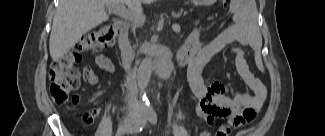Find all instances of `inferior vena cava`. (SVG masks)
I'll return each instance as SVG.
<instances>
[{"instance_id": "1", "label": "inferior vena cava", "mask_w": 325, "mask_h": 136, "mask_svg": "<svg viewBox=\"0 0 325 136\" xmlns=\"http://www.w3.org/2000/svg\"><path fill=\"white\" fill-rule=\"evenodd\" d=\"M125 87L127 89V95L134 98L136 91V81L133 74L128 73L125 80Z\"/></svg>"}]
</instances>
